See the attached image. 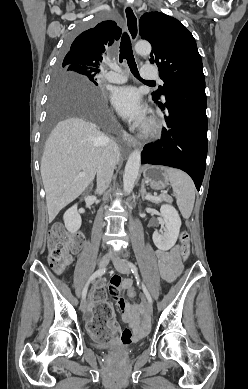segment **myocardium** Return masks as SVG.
<instances>
[{
	"label": "myocardium",
	"mask_w": 248,
	"mask_h": 389,
	"mask_svg": "<svg viewBox=\"0 0 248 389\" xmlns=\"http://www.w3.org/2000/svg\"><path fill=\"white\" fill-rule=\"evenodd\" d=\"M161 133V126L159 122L155 119L149 120L144 129L142 130V134L145 137L148 138H155L158 137Z\"/></svg>",
	"instance_id": "1"
}]
</instances>
